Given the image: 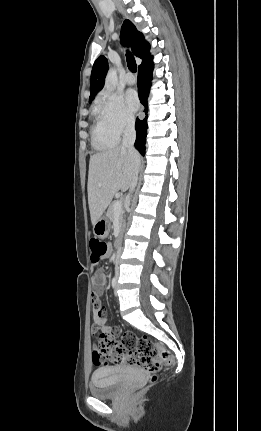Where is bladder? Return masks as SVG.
Masks as SVG:
<instances>
[{"label": "bladder", "mask_w": 261, "mask_h": 431, "mask_svg": "<svg viewBox=\"0 0 261 431\" xmlns=\"http://www.w3.org/2000/svg\"><path fill=\"white\" fill-rule=\"evenodd\" d=\"M124 381V369L117 367L100 368L93 372L89 390L91 395L96 398H112L122 390Z\"/></svg>", "instance_id": "obj_1"}]
</instances>
